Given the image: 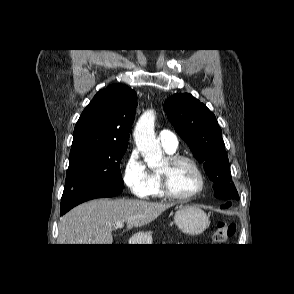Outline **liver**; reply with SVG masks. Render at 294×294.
I'll use <instances>...</instances> for the list:
<instances>
[{
  "label": "liver",
  "instance_id": "6515ba94",
  "mask_svg": "<svg viewBox=\"0 0 294 294\" xmlns=\"http://www.w3.org/2000/svg\"><path fill=\"white\" fill-rule=\"evenodd\" d=\"M172 203H154L136 199H96L83 203L58 224V244H112V231L117 222L127 230L155 220Z\"/></svg>",
  "mask_w": 294,
  "mask_h": 294
}]
</instances>
